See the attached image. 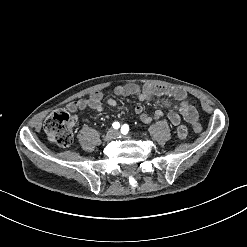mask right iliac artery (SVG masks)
Segmentation results:
<instances>
[{
	"mask_svg": "<svg viewBox=\"0 0 247 247\" xmlns=\"http://www.w3.org/2000/svg\"><path fill=\"white\" fill-rule=\"evenodd\" d=\"M112 126H113V128L114 129H119L120 128V123L119 122H114L113 124H112Z\"/></svg>",
	"mask_w": 247,
	"mask_h": 247,
	"instance_id": "obj_1",
	"label": "right iliac artery"
}]
</instances>
